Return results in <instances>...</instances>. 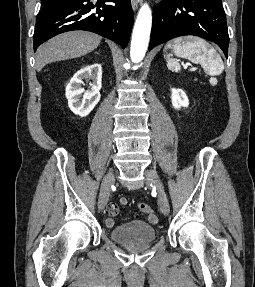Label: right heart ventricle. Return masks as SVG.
I'll use <instances>...</instances> for the list:
<instances>
[{
	"label": "right heart ventricle",
	"mask_w": 255,
	"mask_h": 287,
	"mask_svg": "<svg viewBox=\"0 0 255 287\" xmlns=\"http://www.w3.org/2000/svg\"><path fill=\"white\" fill-rule=\"evenodd\" d=\"M111 39H117V38H111ZM102 48H124V47H102Z\"/></svg>",
	"instance_id": "e07e8e85"
}]
</instances>
